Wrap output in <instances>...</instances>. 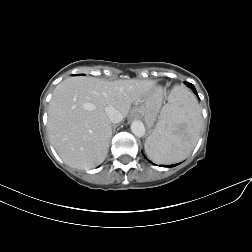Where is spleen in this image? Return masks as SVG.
Masks as SVG:
<instances>
[{
  "label": "spleen",
  "mask_w": 252,
  "mask_h": 252,
  "mask_svg": "<svg viewBox=\"0 0 252 252\" xmlns=\"http://www.w3.org/2000/svg\"><path fill=\"white\" fill-rule=\"evenodd\" d=\"M201 125L196 98L186 88L175 86L156 128L145 142L147 155L160 164L186 159L197 144Z\"/></svg>",
  "instance_id": "spleen-1"
}]
</instances>
